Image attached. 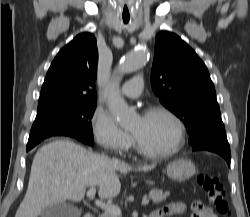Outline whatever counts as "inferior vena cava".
I'll list each match as a JSON object with an SVG mask.
<instances>
[{"label":"inferior vena cava","mask_w":250,"mask_h":217,"mask_svg":"<svg viewBox=\"0 0 250 217\" xmlns=\"http://www.w3.org/2000/svg\"><path fill=\"white\" fill-rule=\"evenodd\" d=\"M114 161H115V162H118V160H117V159H114Z\"/></svg>","instance_id":"inferior-vena-cava-1"}]
</instances>
